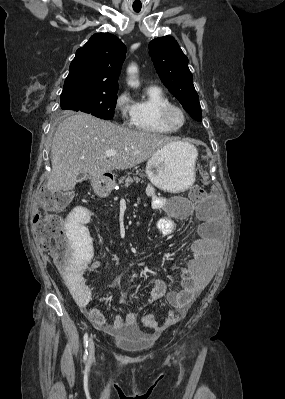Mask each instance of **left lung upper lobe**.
<instances>
[{
    "instance_id": "1",
    "label": "left lung upper lobe",
    "mask_w": 285,
    "mask_h": 399,
    "mask_svg": "<svg viewBox=\"0 0 285 399\" xmlns=\"http://www.w3.org/2000/svg\"><path fill=\"white\" fill-rule=\"evenodd\" d=\"M149 55L163 84L193 119L201 121L199 97L188 68V58L177 41L172 36L156 38L149 43Z\"/></svg>"
}]
</instances>
